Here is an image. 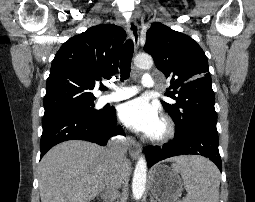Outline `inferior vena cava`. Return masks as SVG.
<instances>
[{"mask_svg": "<svg viewBox=\"0 0 255 202\" xmlns=\"http://www.w3.org/2000/svg\"><path fill=\"white\" fill-rule=\"evenodd\" d=\"M127 148L128 145L125 137L118 136L108 143L107 149L115 162L114 169L105 187V193L110 201H113L119 195V189L123 182V166L127 163L125 157Z\"/></svg>", "mask_w": 255, "mask_h": 202, "instance_id": "1", "label": "inferior vena cava"}]
</instances>
